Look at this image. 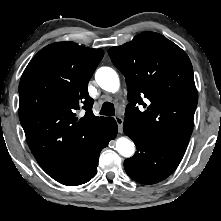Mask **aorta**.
<instances>
[{"mask_svg":"<svg viewBox=\"0 0 221 221\" xmlns=\"http://www.w3.org/2000/svg\"><path fill=\"white\" fill-rule=\"evenodd\" d=\"M98 85L108 91L115 93L120 87V81L116 71L110 67H101L95 75ZM117 152L124 157H131L135 152L134 143L126 137H120L116 141Z\"/></svg>","mask_w":221,"mask_h":221,"instance_id":"aorta-1","label":"aorta"}]
</instances>
